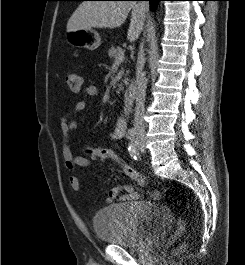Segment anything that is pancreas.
<instances>
[{"label":"pancreas","instance_id":"obj_1","mask_svg":"<svg viewBox=\"0 0 245 265\" xmlns=\"http://www.w3.org/2000/svg\"><path fill=\"white\" fill-rule=\"evenodd\" d=\"M124 53V50L121 47H114L112 46L109 50H108V56L111 59H115L119 54ZM128 73V72H127ZM122 88L120 87V90Z\"/></svg>","mask_w":245,"mask_h":265}]
</instances>
